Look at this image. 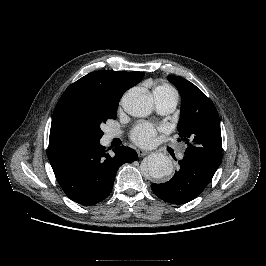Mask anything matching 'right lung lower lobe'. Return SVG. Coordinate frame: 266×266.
I'll return each mask as SVG.
<instances>
[{
  "mask_svg": "<svg viewBox=\"0 0 266 266\" xmlns=\"http://www.w3.org/2000/svg\"><path fill=\"white\" fill-rule=\"evenodd\" d=\"M113 151L110 156L99 141L55 138L49 140L48 157L65 194L76 203L91 206L110 194L119 167L138 159L129 147Z\"/></svg>",
  "mask_w": 266,
  "mask_h": 266,
  "instance_id": "obj_1",
  "label": "right lung lower lobe"
}]
</instances>
